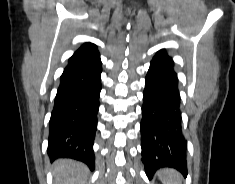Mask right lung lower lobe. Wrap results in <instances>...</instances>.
<instances>
[{
	"label": "right lung lower lobe",
	"instance_id": "98d812e1",
	"mask_svg": "<svg viewBox=\"0 0 235 184\" xmlns=\"http://www.w3.org/2000/svg\"><path fill=\"white\" fill-rule=\"evenodd\" d=\"M98 50L75 52L60 78L49 123L51 160L72 158L94 169L93 142L101 90Z\"/></svg>",
	"mask_w": 235,
	"mask_h": 184
}]
</instances>
